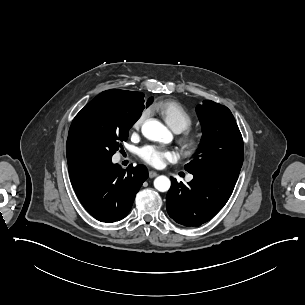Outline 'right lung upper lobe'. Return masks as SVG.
I'll return each instance as SVG.
<instances>
[{
  "instance_id": "obj_1",
  "label": "right lung upper lobe",
  "mask_w": 305,
  "mask_h": 305,
  "mask_svg": "<svg viewBox=\"0 0 305 305\" xmlns=\"http://www.w3.org/2000/svg\"><path fill=\"white\" fill-rule=\"evenodd\" d=\"M143 101L144 94L141 92L111 89L100 93L89 105H94L99 110L106 112L141 104ZM68 165L73 164L68 162Z\"/></svg>"
}]
</instances>
